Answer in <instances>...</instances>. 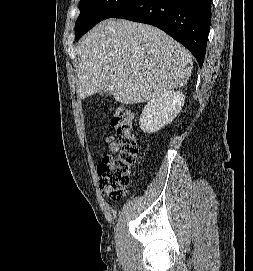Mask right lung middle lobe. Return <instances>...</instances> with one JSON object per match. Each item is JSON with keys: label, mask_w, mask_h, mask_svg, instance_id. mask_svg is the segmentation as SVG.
Instances as JSON below:
<instances>
[{"label": "right lung middle lobe", "mask_w": 253, "mask_h": 271, "mask_svg": "<svg viewBox=\"0 0 253 271\" xmlns=\"http://www.w3.org/2000/svg\"><path fill=\"white\" fill-rule=\"evenodd\" d=\"M129 0H80V15L76 21V39L98 22L111 18Z\"/></svg>", "instance_id": "obj_1"}]
</instances>
